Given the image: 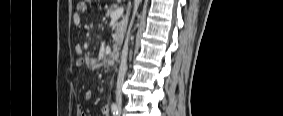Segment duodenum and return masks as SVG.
Instances as JSON below:
<instances>
[{"instance_id": "410a0bca", "label": "duodenum", "mask_w": 283, "mask_h": 116, "mask_svg": "<svg viewBox=\"0 0 283 116\" xmlns=\"http://www.w3.org/2000/svg\"><path fill=\"white\" fill-rule=\"evenodd\" d=\"M110 58L114 63H117L119 61V58H120V51L118 49H114L111 52Z\"/></svg>"}]
</instances>
